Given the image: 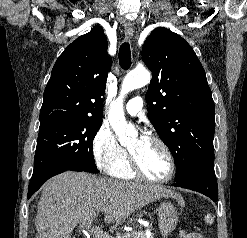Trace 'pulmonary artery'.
Instances as JSON below:
<instances>
[{"label":"pulmonary artery","instance_id":"obj_1","mask_svg":"<svg viewBox=\"0 0 247 238\" xmlns=\"http://www.w3.org/2000/svg\"><path fill=\"white\" fill-rule=\"evenodd\" d=\"M142 107H143L142 98L134 97L126 103L125 110L128 114L135 116L142 110Z\"/></svg>","mask_w":247,"mask_h":238}]
</instances>
